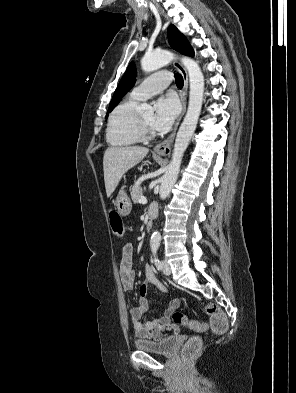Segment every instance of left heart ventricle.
<instances>
[{
  "label": "left heart ventricle",
  "instance_id": "left-heart-ventricle-1",
  "mask_svg": "<svg viewBox=\"0 0 296 393\" xmlns=\"http://www.w3.org/2000/svg\"><path fill=\"white\" fill-rule=\"evenodd\" d=\"M142 120L148 124L149 126H151L152 120H153V114L149 113L146 115L141 116Z\"/></svg>",
  "mask_w": 296,
  "mask_h": 393
}]
</instances>
